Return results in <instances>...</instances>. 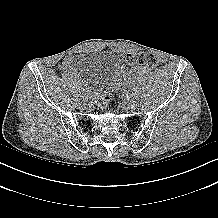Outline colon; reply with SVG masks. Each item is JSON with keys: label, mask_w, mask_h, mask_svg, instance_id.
Masks as SVG:
<instances>
[{"label": "colon", "mask_w": 218, "mask_h": 218, "mask_svg": "<svg viewBox=\"0 0 218 218\" xmlns=\"http://www.w3.org/2000/svg\"><path fill=\"white\" fill-rule=\"evenodd\" d=\"M127 63L131 66H146L148 68H155L158 66L159 61L152 53H132L128 55ZM111 98L112 91H104L96 97V106L102 110L108 108Z\"/></svg>", "instance_id": "colon-1"}]
</instances>
